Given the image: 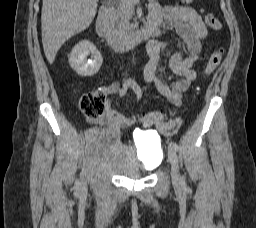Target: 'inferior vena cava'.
<instances>
[{"label": "inferior vena cava", "instance_id": "inferior-vena-cava-1", "mask_svg": "<svg viewBox=\"0 0 256 228\" xmlns=\"http://www.w3.org/2000/svg\"><path fill=\"white\" fill-rule=\"evenodd\" d=\"M115 19H116V11L114 7H111L107 10V13H106V20L110 28L114 27Z\"/></svg>", "mask_w": 256, "mask_h": 228}]
</instances>
